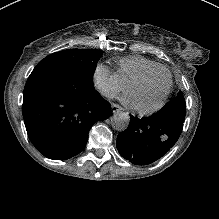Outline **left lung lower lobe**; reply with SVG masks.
<instances>
[{
  "label": "left lung lower lobe",
  "mask_w": 219,
  "mask_h": 219,
  "mask_svg": "<svg viewBox=\"0 0 219 219\" xmlns=\"http://www.w3.org/2000/svg\"><path fill=\"white\" fill-rule=\"evenodd\" d=\"M183 122L158 114L147 118L131 116L129 128L117 137V149L133 164H150L164 154L178 140Z\"/></svg>",
  "instance_id": "left-lung-lower-lobe-1"
}]
</instances>
